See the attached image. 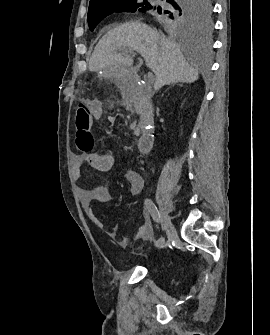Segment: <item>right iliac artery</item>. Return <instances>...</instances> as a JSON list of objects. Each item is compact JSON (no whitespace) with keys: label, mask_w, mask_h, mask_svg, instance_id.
I'll list each match as a JSON object with an SVG mask.
<instances>
[{"label":"right iliac artery","mask_w":270,"mask_h":335,"mask_svg":"<svg viewBox=\"0 0 270 335\" xmlns=\"http://www.w3.org/2000/svg\"><path fill=\"white\" fill-rule=\"evenodd\" d=\"M145 207L146 209L149 211L150 215L152 216L153 220L156 223L160 222V213L157 209V207L155 206V204L153 203V201L151 199H145L144 201ZM165 243V239L164 237H160L156 242H155V246L157 248H161L163 246V244Z\"/></svg>","instance_id":"82829eb1"}]
</instances>
